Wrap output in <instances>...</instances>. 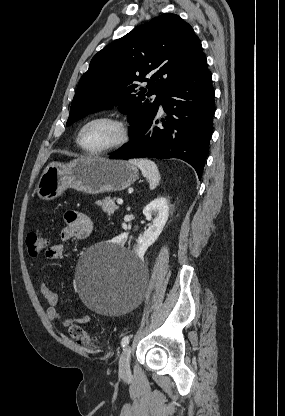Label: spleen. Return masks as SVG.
Here are the masks:
<instances>
[{"label": "spleen", "mask_w": 285, "mask_h": 416, "mask_svg": "<svg viewBox=\"0 0 285 416\" xmlns=\"http://www.w3.org/2000/svg\"><path fill=\"white\" fill-rule=\"evenodd\" d=\"M129 164L137 166V168L141 170L144 178L149 180L150 190H155V188L159 186L161 178L159 170L154 162L146 160V158H142V160H129Z\"/></svg>", "instance_id": "obj_1"}]
</instances>
